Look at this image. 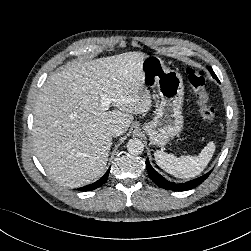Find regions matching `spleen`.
I'll use <instances>...</instances> for the list:
<instances>
[{"mask_svg":"<svg viewBox=\"0 0 251 251\" xmlns=\"http://www.w3.org/2000/svg\"><path fill=\"white\" fill-rule=\"evenodd\" d=\"M215 151V143L209 142L198 156H181L155 151L157 165L167 173L179 178H192L199 175L208 165Z\"/></svg>","mask_w":251,"mask_h":251,"instance_id":"obj_1","label":"spleen"}]
</instances>
